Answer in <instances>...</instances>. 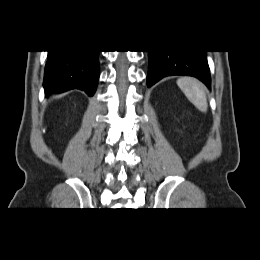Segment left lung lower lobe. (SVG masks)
I'll use <instances>...</instances> for the list:
<instances>
[{
	"label": "left lung lower lobe",
	"mask_w": 260,
	"mask_h": 260,
	"mask_svg": "<svg viewBox=\"0 0 260 260\" xmlns=\"http://www.w3.org/2000/svg\"><path fill=\"white\" fill-rule=\"evenodd\" d=\"M147 86L167 76H193L211 87L209 66L204 50L149 51Z\"/></svg>",
	"instance_id": "0a47b994"
}]
</instances>
